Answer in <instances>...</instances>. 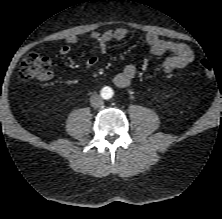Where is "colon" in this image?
<instances>
[{
    "label": "colon",
    "mask_w": 222,
    "mask_h": 219,
    "mask_svg": "<svg viewBox=\"0 0 222 219\" xmlns=\"http://www.w3.org/2000/svg\"><path fill=\"white\" fill-rule=\"evenodd\" d=\"M201 68L204 75L212 78L215 75V69L211 62L204 60L201 63ZM18 75L23 80H47L51 77V63L49 58L38 53H28L20 63Z\"/></svg>",
    "instance_id": "5ec220e1"
}]
</instances>
